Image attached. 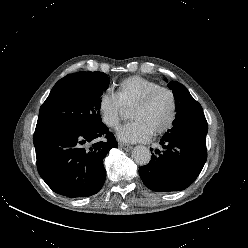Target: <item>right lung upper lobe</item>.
Wrapping results in <instances>:
<instances>
[{
    "instance_id": "obj_1",
    "label": "right lung upper lobe",
    "mask_w": 248,
    "mask_h": 248,
    "mask_svg": "<svg viewBox=\"0 0 248 248\" xmlns=\"http://www.w3.org/2000/svg\"><path fill=\"white\" fill-rule=\"evenodd\" d=\"M77 73L74 74H69L67 76H65L64 78L60 79L55 86L53 87L52 91L57 89L59 86H61L63 83L67 82L69 79H71L72 77H74Z\"/></svg>"
}]
</instances>
